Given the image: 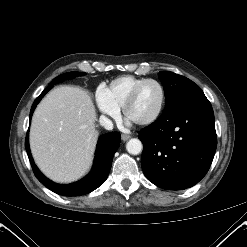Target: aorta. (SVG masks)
Returning <instances> with one entry per match:
<instances>
[{
	"mask_svg": "<svg viewBox=\"0 0 247 247\" xmlns=\"http://www.w3.org/2000/svg\"><path fill=\"white\" fill-rule=\"evenodd\" d=\"M142 143L139 139L132 138L126 144L127 151L132 155H137L142 151Z\"/></svg>",
	"mask_w": 247,
	"mask_h": 247,
	"instance_id": "762f6f07",
	"label": "aorta"
}]
</instances>
